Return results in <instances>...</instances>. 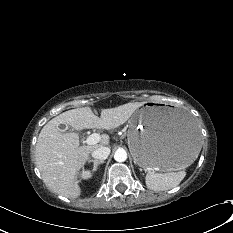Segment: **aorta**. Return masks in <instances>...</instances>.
<instances>
[{
	"label": "aorta",
	"mask_w": 233,
	"mask_h": 233,
	"mask_svg": "<svg viewBox=\"0 0 233 233\" xmlns=\"http://www.w3.org/2000/svg\"><path fill=\"white\" fill-rule=\"evenodd\" d=\"M114 159L117 162H124L127 159V152L123 148H119L115 151Z\"/></svg>",
	"instance_id": "762f6f07"
}]
</instances>
